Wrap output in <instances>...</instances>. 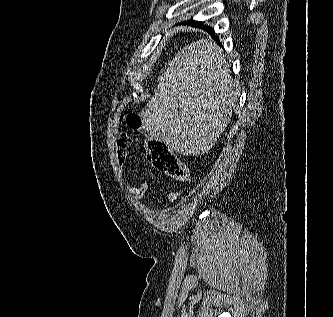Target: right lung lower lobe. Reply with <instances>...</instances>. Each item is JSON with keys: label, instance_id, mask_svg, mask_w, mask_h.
I'll return each mask as SVG.
<instances>
[{"label": "right lung lower lobe", "instance_id": "98d812e1", "mask_svg": "<svg viewBox=\"0 0 333 317\" xmlns=\"http://www.w3.org/2000/svg\"><path fill=\"white\" fill-rule=\"evenodd\" d=\"M187 23H190L194 26H198V27L206 29L217 40V37L215 36V32H214L213 28H209L206 25H203L202 22H198V21H195V20H192V19L190 21H188Z\"/></svg>", "mask_w": 333, "mask_h": 317}]
</instances>
